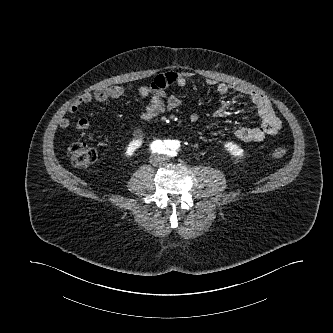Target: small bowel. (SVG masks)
Masks as SVG:
<instances>
[{"label":"small bowel","mask_w":333,"mask_h":333,"mask_svg":"<svg viewBox=\"0 0 333 333\" xmlns=\"http://www.w3.org/2000/svg\"><path fill=\"white\" fill-rule=\"evenodd\" d=\"M188 74L185 72L168 71L157 75L149 85H141L137 93L142 98H148L149 102L142 111L140 117L144 121L152 120L168 110L176 109L180 105V99L166 90L171 86L184 87L187 84ZM206 84L215 87L220 95L227 94L230 90L246 95L255 106L260 126L239 127L235 130V137L243 142H260L266 136H273L279 133L282 128L280 118L274 112L269 100L261 93L250 90L241 85H230L224 82H217L214 79H206ZM132 87L111 86L97 89L93 93H85L76 99L67 109V113L75 114L81 105L89 104L92 101L105 102L109 99H117L130 91ZM61 128H67L70 120L62 116L58 122ZM90 122L86 118H80L75 123L79 130L89 128Z\"/></svg>","instance_id":"1"}]
</instances>
